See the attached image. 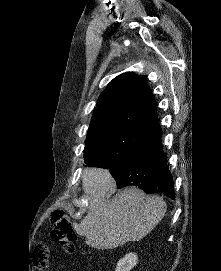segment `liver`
I'll return each mask as SVG.
<instances>
[{
  "label": "liver",
  "instance_id": "obj_1",
  "mask_svg": "<svg viewBox=\"0 0 221 271\" xmlns=\"http://www.w3.org/2000/svg\"><path fill=\"white\" fill-rule=\"evenodd\" d=\"M115 187L108 169L85 167L82 189L89 197V209L75 229L91 247L112 249L125 241H140L165 215L163 197L146 195L135 185L117 191L108 201Z\"/></svg>",
  "mask_w": 221,
  "mask_h": 271
}]
</instances>
